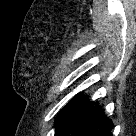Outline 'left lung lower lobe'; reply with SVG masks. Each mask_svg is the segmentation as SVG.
Here are the masks:
<instances>
[{
    "label": "left lung lower lobe",
    "instance_id": "left-lung-lower-lobe-1",
    "mask_svg": "<svg viewBox=\"0 0 136 136\" xmlns=\"http://www.w3.org/2000/svg\"><path fill=\"white\" fill-rule=\"evenodd\" d=\"M55 136H110L112 122L98 105L76 94L56 116Z\"/></svg>",
    "mask_w": 136,
    "mask_h": 136
}]
</instances>
